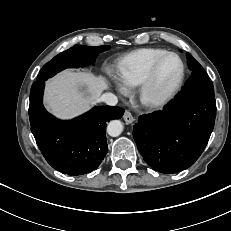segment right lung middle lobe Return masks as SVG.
Instances as JSON below:
<instances>
[{"label":"right lung middle lobe","mask_w":231,"mask_h":231,"mask_svg":"<svg viewBox=\"0 0 231 231\" xmlns=\"http://www.w3.org/2000/svg\"><path fill=\"white\" fill-rule=\"evenodd\" d=\"M109 48L108 45L96 47L75 45L46 63L40 70L37 80L46 81L66 68H77L93 63L99 53L107 51Z\"/></svg>","instance_id":"dd1d6c3e"}]
</instances>
